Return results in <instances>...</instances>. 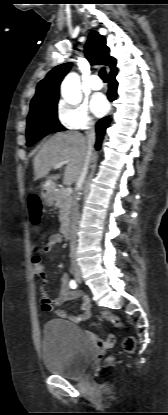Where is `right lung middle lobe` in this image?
<instances>
[{"mask_svg":"<svg viewBox=\"0 0 168 415\" xmlns=\"http://www.w3.org/2000/svg\"><path fill=\"white\" fill-rule=\"evenodd\" d=\"M57 102L41 106L29 112L27 117V146L34 144L50 133L65 130L57 117Z\"/></svg>","mask_w":168,"mask_h":415,"instance_id":"right-lung-middle-lobe-1","label":"right lung middle lobe"}]
</instances>
